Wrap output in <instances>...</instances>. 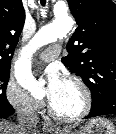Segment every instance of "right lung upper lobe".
<instances>
[{
  "instance_id": "right-lung-upper-lobe-1",
  "label": "right lung upper lobe",
  "mask_w": 116,
  "mask_h": 134,
  "mask_svg": "<svg viewBox=\"0 0 116 134\" xmlns=\"http://www.w3.org/2000/svg\"><path fill=\"white\" fill-rule=\"evenodd\" d=\"M24 22L22 0H0V71L11 68Z\"/></svg>"
}]
</instances>
